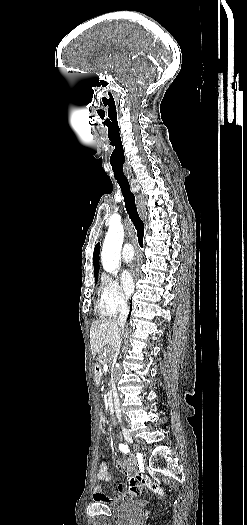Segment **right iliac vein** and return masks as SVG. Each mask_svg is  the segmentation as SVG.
Wrapping results in <instances>:
<instances>
[{
  "instance_id": "1",
  "label": "right iliac vein",
  "mask_w": 247,
  "mask_h": 525,
  "mask_svg": "<svg viewBox=\"0 0 247 525\" xmlns=\"http://www.w3.org/2000/svg\"><path fill=\"white\" fill-rule=\"evenodd\" d=\"M122 433H123V436L125 438V440L132 444L133 443V439H132V436L130 435V433L125 429V428H122Z\"/></svg>"
}]
</instances>
